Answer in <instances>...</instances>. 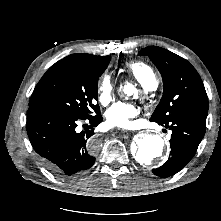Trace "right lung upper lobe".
Here are the masks:
<instances>
[{
	"mask_svg": "<svg viewBox=\"0 0 221 221\" xmlns=\"http://www.w3.org/2000/svg\"><path fill=\"white\" fill-rule=\"evenodd\" d=\"M109 56H95L92 54L76 53L65 57L63 60L78 63L81 65H97L107 60Z\"/></svg>",
	"mask_w": 221,
	"mask_h": 221,
	"instance_id": "cb5924a9",
	"label": "right lung upper lobe"
}]
</instances>
